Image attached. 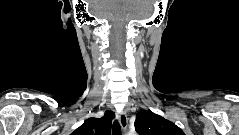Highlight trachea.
Returning <instances> with one entry per match:
<instances>
[{
  "instance_id": "trachea-1",
  "label": "trachea",
  "mask_w": 239,
  "mask_h": 135,
  "mask_svg": "<svg viewBox=\"0 0 239 135\" xmlns=\"http://www.w3.org/2000/svg\"><path fill=\"white\" fill-rule=\"evenodd\" d=\"M112 134L113 135H121V126L117 120H115L113 122Z\"/></svg>"
}]
</instances>
